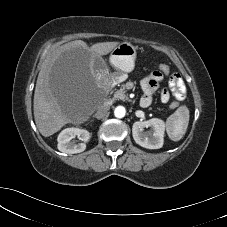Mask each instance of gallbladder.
<instances>
[{
    "label": "gallbladder",
    "mask_w": 227,
    "mask_h": 227,
    "mask_svg": "<svg viewBox=\"0 0 227 227\" xmlns=\"http://www.w3.org/2000/svg\"><path fill=\"white\" fill-rule=\"evenodd\" d=\"M94 70L98 73H105L107 71L106 64L98 57L95 58Z\"/></svg>",
    "instance_id": "gallbladder-1"
}]
</instances>
